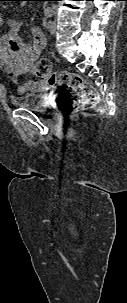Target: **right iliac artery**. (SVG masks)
I'll list each match as a JSON object with an SVG mask.
<instances>
[{
    "label": "right iliac artery",
    "mask_w": 127,
    "mask_h": 303,
    "mask_svg": "<svg viewBox=\"0 0 127 303\" xmlns=\"http://www.w3.org/2000/svg\"><path fill=\"white\" fill-rule=\"evenodd\" d=\"M47 19H48L47 16H45L44 19H43V26H44V27H47V25H48Z\"/></svg>",
    "instance_id": "right-iliac-artery-1"
}]
</instances>
